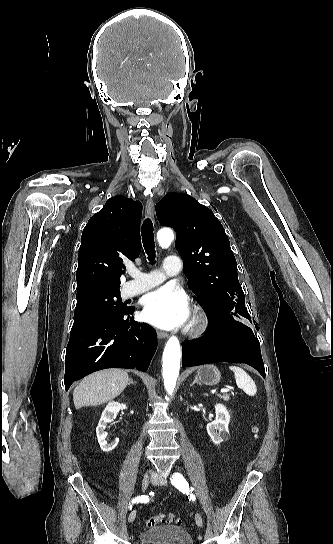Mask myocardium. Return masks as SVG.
Returning a JSON list of instances; mask_svg holds the SVG:
<instances>
[{"label":"myocardium","mask_w":333,"mask_h":544,"mask_svg":"<svg viewBox=\"0 0 333 544\" xmlns=\"http://www.w3.org/2000/svg\"><path fill=\"white\" fill-rule=\"evenodd\" d=\"M208 327L209 318L207 313L202 307H195L188 329L189 333L192 335H200L204 333L208 329Z\"/></svg>","instance_id":"obj_1"}]
</instances>
